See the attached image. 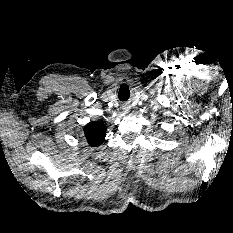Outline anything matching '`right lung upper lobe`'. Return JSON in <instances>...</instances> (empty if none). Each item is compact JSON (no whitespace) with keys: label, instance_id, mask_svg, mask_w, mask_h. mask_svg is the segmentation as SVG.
<instances>
[{"label":"right lung upper lobe","instance_id":"cb5924a9","mask_svg":"<svg viewBox=\"0 0 233 233\" xmlns=\"http://www.w3.org/2000/svg\"><path fill=\"white\" fill-rule=\"evenodd\" d=\"M106 136V126L101 123H89L84 127L83 138L91 146H97L101 144Z\"/></svg>","mask_w":233,"mask_h":233}]
</instances>
